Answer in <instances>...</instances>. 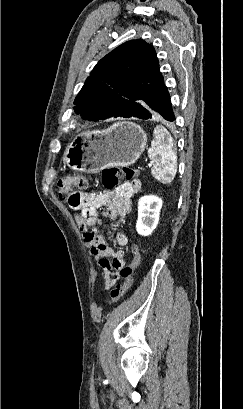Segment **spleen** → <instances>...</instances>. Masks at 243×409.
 I'll list each match as a JSON object with an SVG mask.
<instances>
[{"mask_svg": "<svg viewBox=\"0 0 243 409\" xmlns=\"http://www.w3.org/2000/svg\"><path fill=\"white\" fill-rule=\"evenodd\" d=\"M154 139L148 150L149 158L154 162L152 176L166 184L170 183L177 172V155L174 140L168 130L161 125L154 128Z\"/></svg>", "mask_w": 243, "mask_h": 409, "instance_id": "3e777b00", "label": "spleen"}]
</instances>
